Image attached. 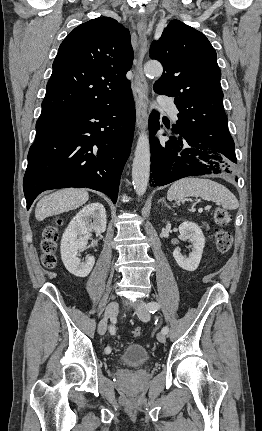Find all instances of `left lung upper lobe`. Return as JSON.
Wrapping results in <instances>:
<instances>
[{
    "label": "left lung upper lobe",
    "mask_w": 262,
    "mask_h": 431,
    "mask_svg": "<svg viewBox=\"0 0 262 431\" xmlns=\"http://www.w3.org/2000/svg\"><path fill=\"white\" fill-rule=\"evenodd\" d=\"M150 57L164 67L154 91L174 97L180 111L175 132L205 142L229 135L216 51L203 33L172 20L152 43Z\"/></svg>",
    "instance_id": "left-lung-upper-lobe-1"
}]
</instances>
